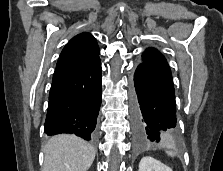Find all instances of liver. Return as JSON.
<instances>
[{"label": "liver", "instance_id": "6515ba94", "mask_svg": "<svg viewBox=\"0 0 223 171\" xmlns=\"http://www.w3.org/2000/svg\"><path fill=\"white\" fill-rule=\"evenodd\" d=\"M42 171H87L96 150L74 135L61 134L50 138L43 148Z\"/></svg>", "mask_w": 223, "mask_h": 171}]
</instances>
